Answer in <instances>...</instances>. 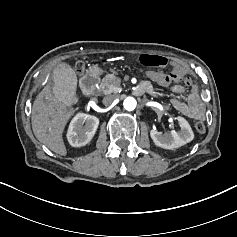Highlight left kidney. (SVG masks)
Listing matches in <instances>:
<instances>
[{"mask_svg": "<svg viewBox=\"0 0 237 237\" xmlns=\"http://www.w3.org/2000/svg\"><path fill=\"white\" fill-rule=\"evenodd\" d=\"M176 119L181 128L179 131L171 130L163 134L155 129L150 130V137L156 146L173 150L193 140L194 133L189 123L180 116H177Z\"/></svg>", "mask_w": 237, "mask_h": 237, "instance_id": "obj_1", "label": "left kidney"}]
</instances>
